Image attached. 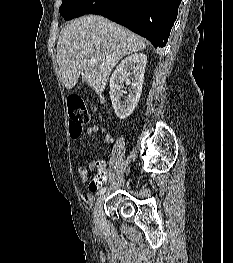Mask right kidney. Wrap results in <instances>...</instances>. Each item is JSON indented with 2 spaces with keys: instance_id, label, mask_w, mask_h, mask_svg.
Masks as SVG:
<instances>
[{
  "instance_id": "right-kidney-1",
  "label": "right kidney",
  "mask_w": 233,
  "mask_h": 263,
  "mask_svg": "<svg viewBox=\"0 0 233 263\" xmlns=\"http://www.w3.org/2000/svg\"><path fill=\"white\" fill-rule=\"evenodd\" d=\"M147 56L135 53L121 61L110 78V99L115 114L126 119L136 108L142 92ZM124 83L129 86L123 91Z\"/></svg>"
}]
</instances>
